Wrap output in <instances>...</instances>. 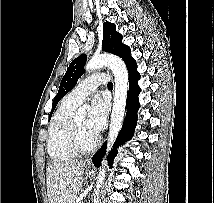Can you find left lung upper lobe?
Masks as SVG:
<instances>
[{
	"mask_svg": "<svg viewBox=\"0 0 214 203\" xmlns=\"http://www.w3.org/2000/svg\"><path fill=\"white\" fill-rule=\"evenodd\" d=\"M122 38V35L116 32L115 24L110 22H105L103 24L102 50L118 55L125 63H127L132 56L130 55V48L122 43ZM86 59V54H83L70 63L67 72L61 80L58 93L53 100L50 117L57 103L76 85L77 80L83 74Z\"/></svg>",
	"mask_w": 214,
	"mask_h": 203,
	"instance_id": "1",
	"label": "left lung upper lobe"
}]
</instances>
